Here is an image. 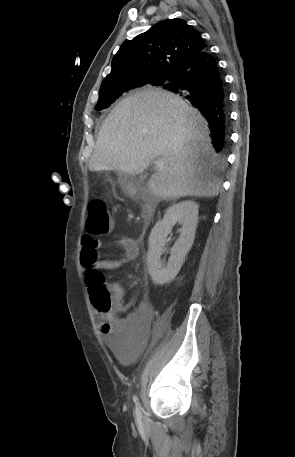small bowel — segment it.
<instances>
[{
    "mask_svg": "<svg viewBox=\"0 0 295 457\" xmlns=\"http://www.w3.org/2000/svg\"><path fill=\"white\" fill-rule=\"evenodd\" d=\"M115 243L124 250L125 256L117 259H100L99 249L103 245L102 240L92 233H85L81 239V264L84 270L88 263L103 270H115L138 256L139 244L136 239L120 237L115 240ZM124 296L123 288L120 285H114L112 294L114 313L127 316L124 319L108 320L100 325L106 338H139L138 334L148 328L154 316L153 308L147 302L142 303L136 311L129 313Z\"/></svg>",
    "mask_w": 295,
    "mask_h": 457,
    "instance_id": "1",
    "label": "small bowel"
}]
</instances>
